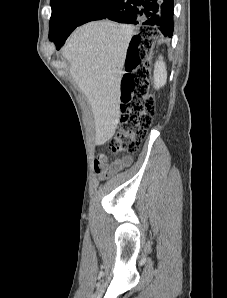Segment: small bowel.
Returning a JSON list of instances; mask_svg holds the SVG:
<instances>
[{"label":"small bowel","instance_id":"c3829d8e","mask_svg":"<svg viewBox=\"0 0 227 298\" xmlns=\"http://www.w3.org/2000/svg\"><path fill=\"white\" fill-rule=\"evenodd\" d=\"M132 163V157L129 155L122 156L113 161L108 160V156L104 153H99L96 156L94 165L96 172L101 178H106L126 167Z\"/></svg>","mask_w":227,"mask_h":298}]
</instances>
